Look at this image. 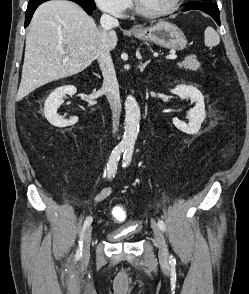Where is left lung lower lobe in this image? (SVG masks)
<instances>
[{
	"instance_id": "obj_1",
	"label": "left lung lower lobe",
	"mask_w": 249,
	"mask_h": 294,
	"mask_svg": "<svg viewBox=\"0 0 249 294\" xmlns=\"http://www.w3.org/2000/svg\"><path fill=\"white\" fill-rule=\"evenodd\" d=\"M188 10H201L209 14L216 21V23L220 25L218 6L212 3L211 1L193 2L189 4L183 11H188Z\"/></svg>"
}]
</instances>
